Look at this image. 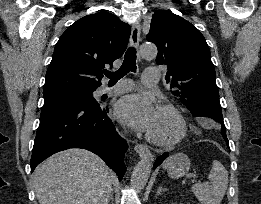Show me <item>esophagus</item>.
Masks as SVG:
<instances>
[{
    "instance_id": "obj_1",
    "label": "esophagus",
    "mask_w": 261,
    "mask_h": 204,
    "mask_svg": "<svg viewBox=\"0 0 261 204\" xmlns=\"http://www.w3.org/2000/svg\"><path fill=\"white\" fill-rule=\"evenodd\" d=\"M139 42H140V25L138 22H136L132 25L130 44H131V46L137 48L139 45ZM134 150L141 158L149 159L151 161L154 159V157H153L152 153L150 152V150L148 149V147L143 144H136L134 147Z\"/></svg>"
}]
</instances>
